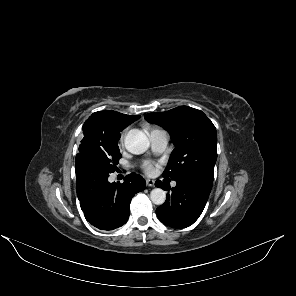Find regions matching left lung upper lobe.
<instances>
[{
    "instance_id": "1",
    "label": "left lung upper lobe",
    "mask_w": 296,
    "mask_h": 296,
    "mask_svg": "<svg viewBox=\"0 0 296 296\" xmlns=\"http://www.w3.org/2000/svg\"><path fill=\"white\" fill-rule=\"evenodd\" d=\"M145 118L165 128L175 145L164 177L175 181L199 175L213 178L217 134L215 126L202 111L180 106L167 112L148 113Z\"/></svg>"
}]
</instances>
